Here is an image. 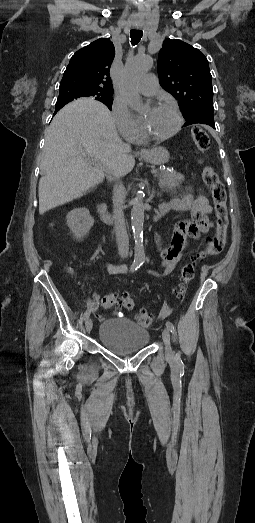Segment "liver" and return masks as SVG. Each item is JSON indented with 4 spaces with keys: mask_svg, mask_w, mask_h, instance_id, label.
<instances>
[{
    "mask_svg": "<svg viewBox=\"0 0 255 523\" xmlns=\"http://www.w3.org/2000/svg\"><path fill=\"white\" fill-rule=\"evenodd\" d=\"M101 168H91L93 160ZM130 152L122 144L108 108L94 98H80L62 108L45 132L44 156L39 180V214L83 196V192L100 184L104 172L129 174L134 158H123Z\"/></svg>",
    "mask_w": 255,
    "mask_h": 523,
    "instance_id": "liver-1",
    "label": "liver"
}]
</instances>
